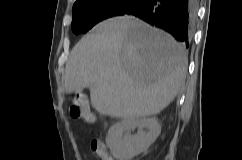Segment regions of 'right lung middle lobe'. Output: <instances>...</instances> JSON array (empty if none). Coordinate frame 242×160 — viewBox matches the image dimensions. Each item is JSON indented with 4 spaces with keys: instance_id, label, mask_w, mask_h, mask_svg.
<instances>
[{
    "instance_id": "1",
    "label": "right lung middle lobe",
    "mask_w": 242,
    "mask_h": 160,
    "mask_svg": "<svg viewBox=\"0 0 242 160\" xmlns=\"http://www.w3.org/2000/svg\"><path fill=\"white\" fill-rule=\"evenodd\" d=\"M143 0H82L73 6L72 31L85 33L98 22L124 15Z\"/></svg>"
}]
</instances>
